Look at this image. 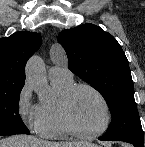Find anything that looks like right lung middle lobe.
I'll return each mask as SVG.
<instances>
[{"label": "right lung middle lobe", "instance_id": "right-lung-middle-lobe-1", "mask_svg": "<svg viewBox=\"0 0 145 147\" xmlns=\"http://www.w3.org/2000/svg\"><path fill=\"white\" fill-rule=\"evenodd\" d=\"M22 88L0 91V136L30 133L18 111Z\"/></svg>", "mask_w": 145, "mask_h": 147}]
</instances>
